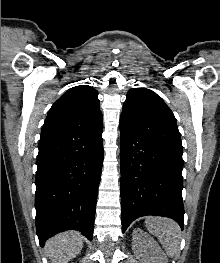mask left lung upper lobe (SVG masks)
<instances>
[{
	"label": "left lung upper lobe",
	"instance_id": "1",
	"mask_svg": "<svg viewBox=\"0 0 220 263\" xmlns=\"http://www.w3.org/2000/svg\"><path fill=\"white\" fill-rule=\"evenodd\" d=\"M120 125L183 152L173 112L149 89L132 88L128 91Z\"/></svg>",
	"mask_w": 220,
	"mask_h": 263
}]
</instances>
